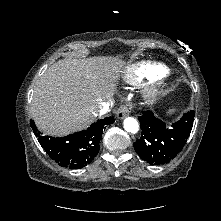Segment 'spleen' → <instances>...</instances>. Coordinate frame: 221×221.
Listing matches in <instances>:
<instances>
[{
	"label": "spleen",
	"instance_id": "spleen-1",
	"mask_svg": "<svg viewBox=\"0 0 221 221\" xmlns=\"http://www.w3.org/2000/svg\"><path fill=\"white\" fill-rule=\"evenodd\" d=\"M174 112H175V109H170V110L168 111V114L171 115V114H173Z\"/></svg>",
	"mask_w": 221,
	"mask_h": 221
}]
</instances>
